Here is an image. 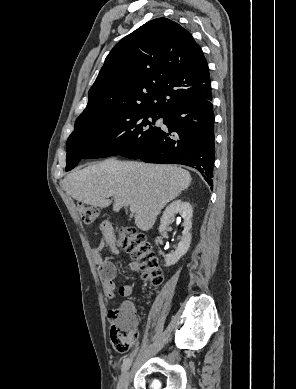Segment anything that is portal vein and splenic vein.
Segmentation results:
<instances>
[{"instance_id": "portal-vein-and-splenic-vein-1", "label": "portal vein and splenic vein", "mask_w": 296, "mask_h": 389, "mask_svg": "<svg viewBox=\"0 0 296 389\" xmlns=\"http://www.w3.org/2000/svg\"><path fill=\"white\" fill-rule=\"evenodd\" d=\"M105 197H110V194H106V195H104ZM130 211L132 212V213H135L136 212V208H135V206H130Z\"/></svg>"}]
</instances>
